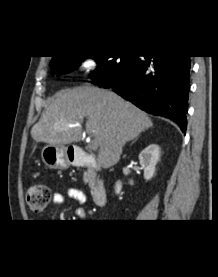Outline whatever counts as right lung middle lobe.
I'll return each mask as SVG.
<instances>
[{
    "label": "right lung middle lobe",
    "mask_w": 218,
    "mask_h": 277,
    "mask_svg": "<svg viewBox=\"0 0 218 277\" xmlns=\"http://www.w3.org/2000/svg\"><path fill=\"white\" fill-rule=\"evenodd\" d=\"M88 56L56 57L50 62L53 73L63 74L72 71ZM97 63V69L91 73L95 83L116 82L121 74L136 60L137 56H89Z\"/></svg>",
    "instance_id": "right-lung-middle-lobe-1"
}]
</instances>
